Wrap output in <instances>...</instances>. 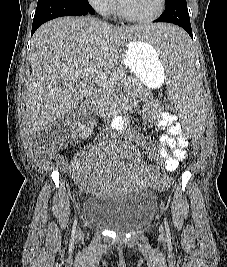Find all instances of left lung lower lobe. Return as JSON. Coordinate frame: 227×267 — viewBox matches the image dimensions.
<instances>
[{"mask_svg":"<svg viewBox=\"0 0 227 267\" xmlns=\"http://www.w3.org/2000/svg\"><path fill=\"white\" fill-rule=\"evenodd\" d=\"M165 10L154 22H166L182 27L193 39L186 0H165Z\"/></svg>","mask_w":227,"mask_h":267,"instance_id":"obj_1","label":"left lung lower lobe"}]
</instances>
